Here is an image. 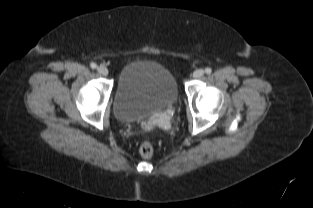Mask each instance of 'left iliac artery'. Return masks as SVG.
Returning <instances> with one entry per match:
<instances>
[{
  "label": "left iliac artery",
  "instance_id": "left-iliac-artery-1",
  "mask_svg": "<svg viewBox=\"0 0 313 208\" xmlns=\"http://www.w3.org/2000/svg\"><path fill=\"white\" fill-rule=\"evenodd\" d=\"M205 72H206V74H211L212 69H211V68H209V67H207V68L205 69Z\"/></svg>",
  "mask_w": 313,
  "mask_h": 208
}]
</instances>
